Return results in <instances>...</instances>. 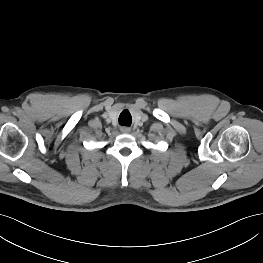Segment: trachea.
<instances>
[{"mask_svg": "<svg viewBox=\"0 0 263 263\" xmlns=\"http://www.w3.org/2000/svg\"><path fill=\"white\" fill-rule=\"evenodd\" d=\"M119 122L121 125H130L132 122L131 115L128 110H124L119 117Z\"/></svg>", "mask_w": 263, "mask_h": 263, "instance_id": "obj_1", "label": "trachea"}]
</instances>
